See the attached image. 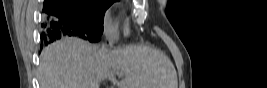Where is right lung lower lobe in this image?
Instances as JSON below:
<instances>
[{
	"instance_id": "obj_1",
	"label": "right lung lower lobe",
	"mask_w": 267,
	"mask_h": 88,
	"mask_svg": "<svg viewBox=\"0 0 267 88\" xmlns=\"http://www.w3.org/2000/svg\"><path fill=\"white\" fill-rule=\"evenodd\" d=\"M64 35L68 36H79L84 39H88L91 42H97L100 40V37L94 36L92 34L83 31L74 25L71 21L67 19H57L50 18L49 22L45 25V30L41 35V38L48 44V41H53L59 39Z\"/></svg>"
}]
</instances>
